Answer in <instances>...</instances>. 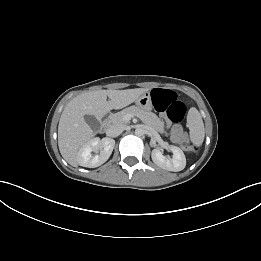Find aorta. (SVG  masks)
I'll return each mask as SVG.
<instances>
[{"label": "aorta", "instance_id": "aorta-1", "mask_svg": "<svg viewBox=\"0 0 261 261\" xmlns=\"http://www.w3.org/2000/svg\"><path fill=\"white\" fill-rule=\"evenodd\" d=\"M135 134L137 136H142L144 134V130L141 127H137L135 130Z\"/></svg>", "mask_w": 261, "mask_h": 261}]
</instances>
